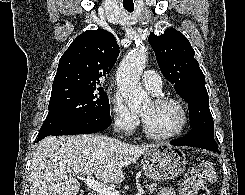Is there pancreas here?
Here are the masks:
<instances>
[{
  "mask_svg": "<svg viewBox=\"0 0 245 195\" xmlns=\"http://www.w3.org/2000/svg\"><path fill=\"white\" fill-rule=\"evenodd\" d=\"M146 183V182H145ZM157 187V184L156 183H150V184H145V188H146V191L148 192H153Z\"/></svg>",
  "mask_w": 245,
  "mask_h": 195,
  "instance_id": "obj_1",
  "label": "pancreas"
}]
</instances>
